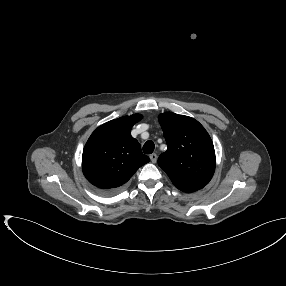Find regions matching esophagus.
<instances>
[{
  "instance_id": "obj_1",
  "label": "esophagus",
  "mask_w": 286,
  "mask_h": 286,
  "mask_svg": "<svg viewBox=\"0 0 286 286\" xmlns=\"http://www.w3.org/2000/svg\"><path fill=\"white\" fill-rule=\"evenodd\" d=\"M157 154H155V153H153V154H151L150 155V159H151V162L152 163H156V161H157Z\"/></svg>"
}]
</instances>
